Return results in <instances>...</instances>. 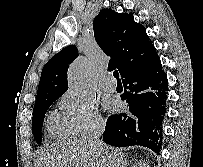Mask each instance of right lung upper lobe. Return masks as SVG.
Returning a JSON list of instances; mask_svg holds the SVG:
<instances>
[{"mask_svg":"<svg viewBox=\"0 0 203 167\" xmlns=\"http://www.w3.org/2000/svg\"><path fill=\"white\" fill-rule=\"evenodd\" d=\"M94 36L100 48L109 56L108 69L118 68L122 78L154 61L158 54L146 34V28L136 23L132 14L102 9L94 18ZM78 57L75 45L54 55L44 66L39 81L36 104L60 97L68 90L69 64Z\"/></svg>","mask_w":203,"mask_h":167,"instance_id":"1","label":"right lung upper lobe"}]
</instances>
